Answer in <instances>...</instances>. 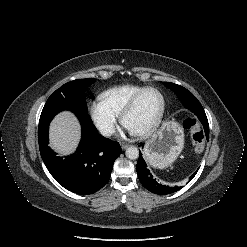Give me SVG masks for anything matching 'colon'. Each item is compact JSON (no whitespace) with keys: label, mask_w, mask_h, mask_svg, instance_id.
Segmentation results:
<instances>
[{"label":"colon","mask_w":247,"mask_h":247,"mask_svg":"<svg viewBox=\"0 0 247 247\" xmlns=\"http://www.w3.org/2000/svg\"><path fill=\"white\" fill-rule=\"evenodd\" d=\"M184 126L189 131L190 138L196 151L201 152L205 145V132L195 117H187Z\"/></svg>","instance_id":"obj_1"}]
</instances>
